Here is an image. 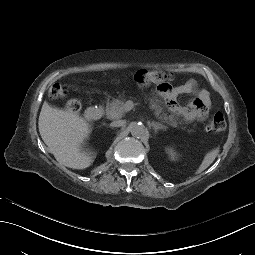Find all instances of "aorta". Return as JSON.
<instances>
[{
	"mask_svg": "<svg viewBox=\"0 0 255 255\" xmlns=\"http://www.w3.org/2000/svg\"><path fill=\"white\" fill-rule=\"evenodd\" d=\"M130 132H131V135L133 137L141 138V137H143L146 134L147 130H146V128H145V126L143 124H141V123H133L131 125Z\"/></svg>",
	"mask_w": 255,
	"mask_h": 255,
	"instance_id": "obj_1",
	"label": "aorta"
}]
</instances>
